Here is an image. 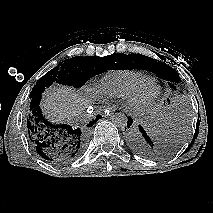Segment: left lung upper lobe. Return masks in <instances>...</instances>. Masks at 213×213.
<instances>
[{"instance_id": "obj_1", "label": "left lung upper lobe", "mask_w": 213, "mask_h": 213, "mask_svg": "<svg viewBox=\"0 0 213 213\" xmlns=\"http://www.w3.org/2000/svg\"><path fill=\"white\" fill-rule=\"evenodd\" d=\"M128 58V68L145 69L155 73L158 77L168 81L171 87L181 80L178 73L162 61L141 54H130Z\"/></svg>"}]
</instances>
